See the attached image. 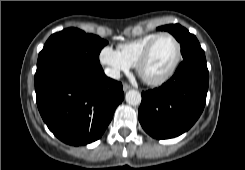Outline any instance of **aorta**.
<instances>
[{"label":"aorta","instance_id":"obj_1","mask_svg":"<svg viewBox=\"0 0 245 170\" xmlns=\"http://www.w3.org/2000/svg\"><path fill=\"white\" fill-rule=\"evenodd\" d=\"M126 102L130 105L136 106L141 103V94L136 90H129L125 96Z\"/></svg>","mask_w":245,"mask_h":170}]
</instances>
